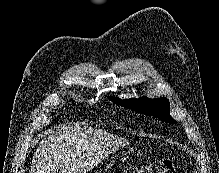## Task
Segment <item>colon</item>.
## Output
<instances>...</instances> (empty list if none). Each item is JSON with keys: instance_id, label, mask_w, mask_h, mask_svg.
Here are the masks:
<instances>
[{"instance_id": "1", "label": "colon", "mask_w": 219, "mask_h": 173, "mask_svg": "<svg viewBox=\"0 0 219 173\" xmlns=\"http://www.w3.org/2000/svg\"><path fill=\"white\" fill-rule=\"evenodd\" d=\"M125 173H177L170 160H151L141 166L129 169Z\"/></svg>"}]
</instances>
